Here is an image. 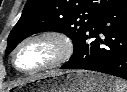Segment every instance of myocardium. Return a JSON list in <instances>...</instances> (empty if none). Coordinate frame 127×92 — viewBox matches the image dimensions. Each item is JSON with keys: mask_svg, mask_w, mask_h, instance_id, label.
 Instances as JSON below:
<instances>
[{"mask_svg": "<svg viewBox=\"0 0 127 92\" xmlns=\"http://www.w3.org/2000/svg\"><path fill=\"white\" fill-rule=\"evenodd\" d=\"M35 40L52 41L57 47V54L55 58L47 65L33 70H23L16 63L17 55L25 44ZM73 52L74 42L67 33L55 29L43 30L26 36L17 44L12 54V64L18 71L22 73L35 74L61 66L71 58Z\"/></svg>", "mask_w": 127, "mask_h": 92, "instance_id": "obj_1", "label": "myocardium"}]
</instances>
